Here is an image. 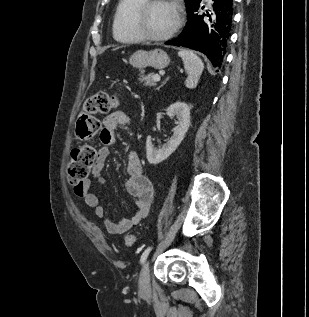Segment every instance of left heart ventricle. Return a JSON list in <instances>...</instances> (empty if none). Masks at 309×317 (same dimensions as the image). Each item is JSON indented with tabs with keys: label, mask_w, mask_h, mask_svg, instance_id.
Masks as SVG:
<instances>
[{
	"label": "left heart ventricle",
	"mask_w": 309,
	"mask_h": 317,
	"mask_svg": "<svg viewBox=\"0 0 309 317\" xmlns=\"http://www.w3.org/2000/svg\"><path fill=\"white\" fill-rule=\"evenodd\" d=\"M176 22V11L170 3H158L147 13L143 26L152 35H163L172 29Z\"/></svg>",
	"instance_id": "b2bd125f"
}]
</instances>
